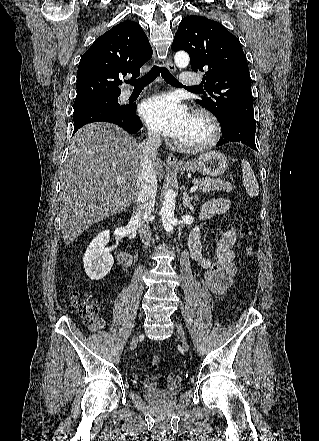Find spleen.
Returning a JSON list of instances; mask_svg holds the SVG:
<instances>
[{"mask_svg":"<svg viewBox=\"0 0 319 441\" xmlns=\"http://www.w3.org/2000/svg\"><path fill=\"white\" fill-rule=\"evenodd\" d=\"M241 165L243 173V184L246 192L250 197H256L259 194V184L257 182L256 176L247 160L243 159L241 161Z\"/></svg>","mask_w":319,"mask_h":441,"instance_id":"1","label":"spleen"}]
</instances>
